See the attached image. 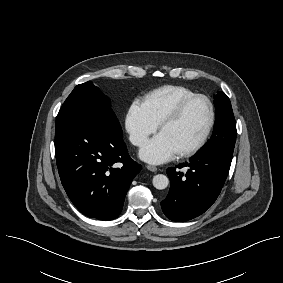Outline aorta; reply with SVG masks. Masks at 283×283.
I'll return each mask as SVG.
<instances>
[{
	"instance_id": "aorta-1",
	"label": "aorta",
	"mask_w": 283,
	"mask_h": 283,
	"mask_svg": "<svg viewBox=\"0 0 283 283\" xmlns=\"http://www.w3.org/2000/svg\"><path fill=\"white\" fill-rule=\"evenodd\" d=\"M152 183L156 189L163 190L168 186L169 179L163 174H158L153 177Z\"/></svg>"
}]
</instances>
